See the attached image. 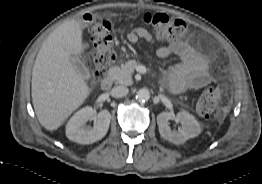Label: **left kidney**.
Returning <instances> with one entry per match:
<instances>
[{"instance_id":"left-kidney-1","label":"left kidney","mask_w":262,"mask_h":184,"mask_svg":"<svg viewBox=\"0 0 262 184\" xmlns=\"http://www.w3.org/2000/svg\"><path fill=\"white\" fill-rule=\"evenodd\" d=\"M173 116L169 112H162L157 116V124L162 138L174 144H182L190 138H194L201 133V127L195 117L187 111L177 114L176 120L181 122L182 127L178 131L171 130L168 121Z\"/></svg>"}]
</instances>
